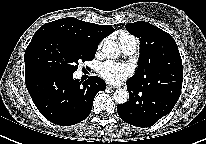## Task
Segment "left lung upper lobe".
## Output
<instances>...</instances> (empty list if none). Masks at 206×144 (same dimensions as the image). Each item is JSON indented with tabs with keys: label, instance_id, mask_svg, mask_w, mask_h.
Listing matches in <instances>:
<instances>
[{
	"label": "left lung upper lobe",
	"instance_id": "1",
	"mask_svg": "<svg viewBox=\"0 0 206 144\" xmlns=\"http://www.w3.org/2000/svg\"><path fill=\"white\" fill-rule=\"evenodd\" d=\"M126 29L140 41L138 69L130 80L149 87L182 83V60L170 34L144 21L128 23Z\"/></svg>",
	"mask_w": 206,
	"mask_h": 144
}]
</instances>
